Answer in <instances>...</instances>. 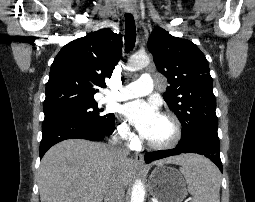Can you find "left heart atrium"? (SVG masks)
I'll return each mask as SVG.
<instances>
[{
	"mask_svg": "<svg viewBox=\"0 0 255 202\" xmlns=\"http://www.w3.org/2000/svg\"><path fill=\"white\" fill-rule=\"evenodd\" d=\"M123 116L146 138L160 116L154 104L142 100L128 102L121 108Z\"/></svg>",
	"mask_w": 255,
	"mask_h": 202,
	"instance_id": "left-heart-atrium-1",
	"label": "left heart atrium"
}]
</instances>
